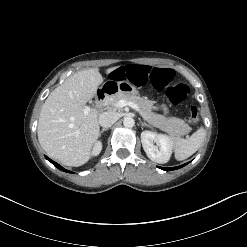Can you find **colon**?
Masks as SVG:
<instances>
[{"instance_id":"obj_1","label":"colon","mask_w":247,"mask_h":247,"mask_svg":"<svg viewBox=\"0 0 247 247\" xmlns=\"http://www.w3.org/2000/svg\"><path fill=\"white\" fill-rule=\"evenodd\" d=\"M109 78L115 84L127 82L137 86L148 85L156 89H166L167 98L174 105L182 103L190 91L185 83L174 79L173 70L147 64H115L109 70ZM188 119L194 125L198 123L197 107L189 108Z\"/></svg>"}]
</instances>
